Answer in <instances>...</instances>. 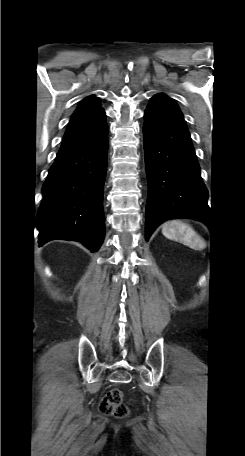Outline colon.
Here are the masks:
<instances>
[{"instance_id":"5ec220e1","label":"colon","mask_w":245,"mask_h":456,"mask_svg":"<svg viewBox=\"0 0 245 456\" xmlns=\"http://www.w3.org/2000/svg\"><path fill=\"white\" fill-rule=\"evenodd\" d=\"M124 396L120 389L113 388L109 390L102 398L99 404V410L102 414L124 418L128 415V408L123 402Z\"/></svg>"}]
</instances>
